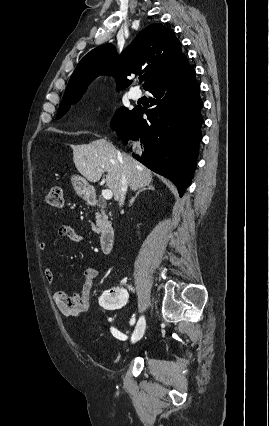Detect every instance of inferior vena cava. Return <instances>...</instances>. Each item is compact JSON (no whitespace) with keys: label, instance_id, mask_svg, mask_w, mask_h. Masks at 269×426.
I'll return each mask as SVG.
<instances>
[{"label":"inferior vena cava","instance_id":"1","mask_svg":"<svg viewBox=\"0 0 269 426\" xmlns=\"http://www.w3.org/2000/svg\"><path fill=\"white\" fill-rule=\"evenodd\" d=\"M127 187H128V182H127L125 174L123 173L121 178V186H120V194H119L120 206L123 205L124 203L125 195L127 193Z\"/></svg>","mask_w":269,"mask_h":426}]
</instances>
